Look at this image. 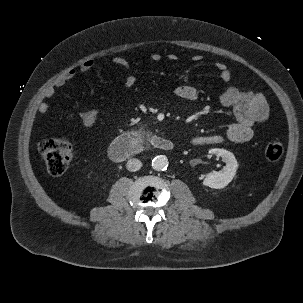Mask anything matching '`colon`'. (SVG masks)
I'll use <instances>...</instances> for the list:
<instances>
[{
    "instance_id": "5ec220e1",
    "label": "colon",
    "mask_w": 303,
    "mask_h": 303,
    "mask_svg": "<svg viewBox=\"0 0 303 303\" xmlns=\"http://www.w3.org/2000/svg\"><path fill=\"white\" fill-rule=\"evenodd\" d=\"M98 110L91 108L80 116L84 127L91 126L97 116ZM38 151L43 157L47 170L52 175L63 174L73 158L71 143L65 138L44 137L38 142ZM283 154V145L280 140L273 139L266 145L265 157L270 162L278 161Z\"/></svg>"
}]
</instances>
